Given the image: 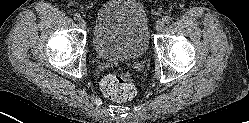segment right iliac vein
Segmentation results:
<instances>
[{"mask_svg": "<svg viewBox=\"0 0 249 123\" xmlns=\"http://www.w3.org/2000/svg\"><path fill=\"white\" fill-rule=\"evenodd\" d=\"M78 24L81 28H85L86 27V21L84 19H79Z\"/></svg>", "mask_w": 249, "mask_h": 123, "instance_id": "63e3f726", "label": "right iliac vein"}]
</instances>
